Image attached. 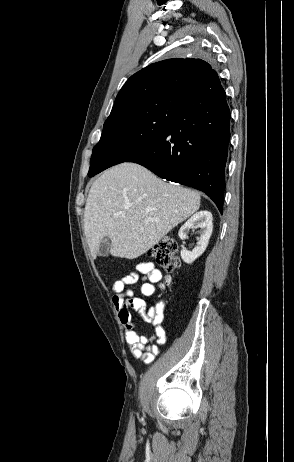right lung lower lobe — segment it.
<instances>
[{
  "label": "right lung lower lobe",
  "mask_w": 294,
  "mask_h": 462,
  "mask_svg": "<svg viewBox=\"0 0 294 462\" xmlns=\"http://www.w3.org/2000/svg\"><path fill=\"white\" fill-rule=\"evenodd\" d=\"M180 112L125 162L138 163L161 178L205 192L222 213L230 110L216 81L190 94ZM91 158L90 177L96 175Z\"/></svg>",
  "instance_id": "obj_1"
}]
</instances>
